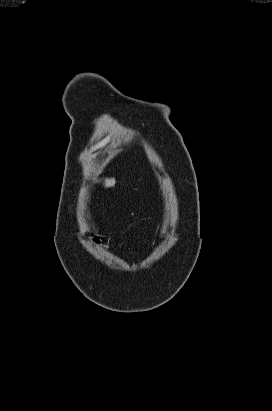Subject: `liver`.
I'll list each match as a JSON object with an SVG mask.
<instances>
[{
  "label": "liver",
  "instance_id": "liver-1",
  "mask_svg": "<svg viewBox=\"0 0 272 411\" xmlns=\"http://www.w3.org/2000/svg\"><path fill=\"white\" fill-rule=\"evenodd\" d=\"M116 181L114 178L105 179V187H113Z\"/></svg>",
  "mask_w": 272,
  "mask_h": 411
}]
</instances>
